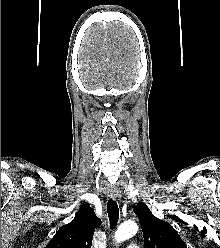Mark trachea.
I'll use <instances>...</instances> for the list:
<instances>
[{
	"instance_id": "trachea-1",
	"label": "trachea",
	"mask_w": 220,
	"mask_h": 248,
	"mask_svg": "<svg viewBox=\"0 0 220 248\" xmlns=\"http://www.w3.org/2000/svg\"><path fill=\"white\" fill-rule=\"evenodd\" d=\"M107 212L110 221V225L114 227L117 224L119 218V209L117 202L114 200H109L107 203Z\"/></svg>"
}]
</instances>
